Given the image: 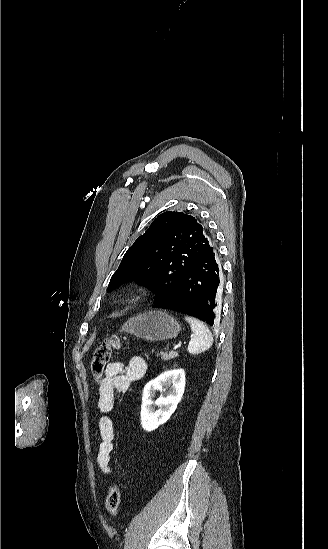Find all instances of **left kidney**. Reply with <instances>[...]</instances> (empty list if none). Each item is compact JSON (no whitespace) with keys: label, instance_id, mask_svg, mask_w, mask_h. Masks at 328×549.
<instances>
[{"label":"left kidney","instance_id":"obj_1","mask_svg":"<svg viewBox=\"0 0 328 549\" xmlns=\"http://www.w3.org/2000/svg\"><path fill=\"white\" fill-rule=\"evenodd\" d=\"M170 387L167 397H159L153 401L155 391H166ZM185 391V373L183 369L165 371L153 381H149L143 389L141 405V425L145 431H155L159 425H164L177 409ZM153 405L159 407L154 411Z\"/></svg>","mask_w":328,"mask_h":549}]
</instances>
